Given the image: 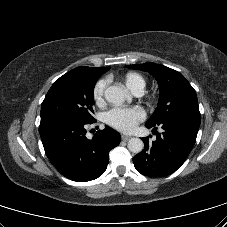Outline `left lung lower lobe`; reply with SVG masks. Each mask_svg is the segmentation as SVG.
Instances as JSON below:
<instances>
[{
	"label": "left lung lower lobe",
	"mask_w": 227,
	"mask_h": 227,
	"mask_svg": "<svg viewBox=\"0 0 227 227\" xmlns=\"http://www.w3.org/2000/svg\"><path fill=\"white\" fill-rule=\"evenodd\" d=\"M164 129L149 143L143 138L144 150L135 155V168L143 175L163 177L175 172L191 152L200 126V118H172L159 124ZM147 128L156 126L146 125Z\"/></svg>",
	"instance_id": "obj_1"
}]
</instances>
